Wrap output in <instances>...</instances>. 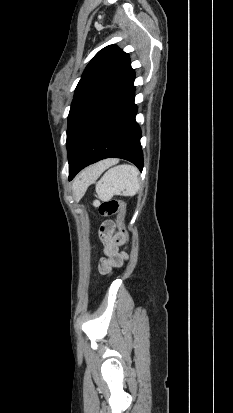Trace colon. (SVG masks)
Instances as JSON below:
<instances>
[{
	"label": "colon",
	"instance_id": "colon-1",
	"mask_svg": "<svg viewBox=\"0 0 233 413\" xmlns=\"http://www.w3.org/2000/svg\"><path fill=\"white\" fill-rule=\"evenodd\" d=\"M101 216L108 217L117 214V226L120 235L124 238L127 236V230L124 224L126 215V205L124 202L116 199L102 201L98 207Z\"/></svg>",
	"mask_w": 233,
	"mask_h": 413
}]
</instances>
